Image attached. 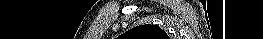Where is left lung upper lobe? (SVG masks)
<instances>
[{
	"label": "left lung upper lobe",
	"mask_w": 263,
	"mask_h": 39,
	"mask_svg": "<svg viewBox=\"0 0 263 39\" xmlns=\"http://www.w3.org/2000/svg\"><path fill=\"white\" fill-rule=\"evenodd\" d=\"M121 39H170L167 33L156 25H140L121 35Z\"/></svg>",
	"instance_id": "1"
}]
</instances>
